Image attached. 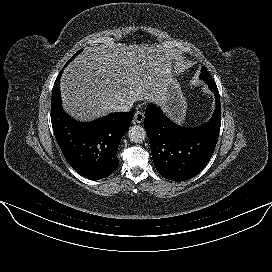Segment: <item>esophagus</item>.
Masks as SVG:
<instances>
[{
    "label": "esophagus",
    "instance_id": "obj_1",
    "mask_svg": "<svg viewBox=\"0 0 272 272\" xmlns=\"http://www.w3.org/2000/svg\"><path fill=\"white\" fill-rule=\"evenodd\" d=\"M133 121L134 123L141 124L144 121V112L141 110L136 111Z\"/></svg>",
    "mask_w": 272,
    "mask_h": 272
}]
</instances>
